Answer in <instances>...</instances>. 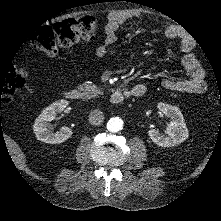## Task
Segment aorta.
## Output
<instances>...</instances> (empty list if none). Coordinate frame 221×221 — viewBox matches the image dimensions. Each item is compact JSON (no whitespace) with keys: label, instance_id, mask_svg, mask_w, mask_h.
Wrapping results in <instances>:
<instances>
[{"label":"aorta","instance_id":"762f6f07","mask_svg":"<svg viewBox=\"0 0 221 221\" xmlns=\"http://www.w3.org/2000/svg\"><path fill=\"white\" fill-rule=\"evenodd\" d=\"M122 127L123 121L119 117H113L107 123V129L112 133L119 132L122 129Z\"/></svg>","mask_w":221,"mask_h":221}]
</instances>
